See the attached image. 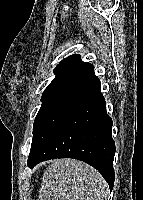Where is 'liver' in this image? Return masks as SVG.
Here are the masks:
<instances>
[{
    "instance_id": "1",
    "label": "liver",
    "mask_w": 143,
    "mask_h": 200,
    "mask_svg": "<svg viewBox=\"0 0 143 200\" xmlns=\"http://www.w3.org/2000/svg\"><path fill=\"white\" fill-rule=\"evenodd\" d=\"M108 185L90 165L57 159L44 172L38 200H104Z\"/></svg>"
}]
</instances>
